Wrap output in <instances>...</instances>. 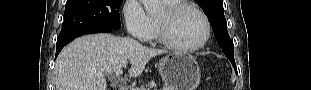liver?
Segmentation results:
<instances>
[{"label": "liver", "instance_id": "obj_1", "mask_svg": "<svg viewBox=\"0 0 311 90\" xmlns=\"http://www.w3.org/2000/svg\"><path fill=\"white\" fill-rule=\"evenodd\" d=\"M165 52L111 34L79 37L64 47L56 60V90H107L106 74L130 61L129 75L138 77L151 58Z\"/></svg>", "mask_w": 311, "mask_h": 90}]
</instances>
